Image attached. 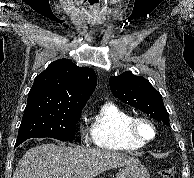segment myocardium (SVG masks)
Masks as SVG:
<instances>
[{"label":"myocardium","mask_w":194,"mask_h":178,"mask_svg":"<svg viewBox=\"0 0 194 178\" xmlns=\"http://www.w3.org/2000/svg\"><path fill=\"white\" fill-rule=\"evenodd\" d=\"M143 125H146L151 129L152 136L150 138L142 136L140 129ZM126 132L131 139L143 145L151 143L157 136V128L154 122L147 117H133L126 126Z\"/></svg>","instance_id":"obj_1"}]
</instances>
